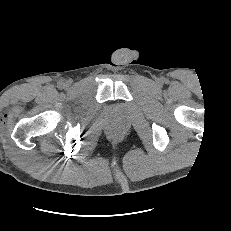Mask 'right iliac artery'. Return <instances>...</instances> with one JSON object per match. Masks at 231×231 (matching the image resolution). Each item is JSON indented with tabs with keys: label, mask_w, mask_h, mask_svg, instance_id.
Instances as JSON below:
<instances>
[{
	"label": "right iliac artery",
	"mask_w": 231,
	"mask_h": 231,
	"mask_svg": "<svg viewBox=\"0 0 231 231\" xmlns=\"http://www.w3.org/2000/svg\"><path fill=\"white\" fill-rule=\"evenodd\" d=\"M62 86H63V83H62V82H60V83H59V87H62Z\"/></svg>",
	"instance_id": "1"
}]
</instances>
